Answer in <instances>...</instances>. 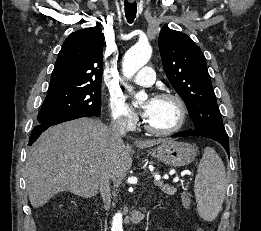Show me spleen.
I'll use <instances>...</instances> for the list:
<instances>
[{"mask_svg":"<svg viewBox=\"0 0 261 231\" xmlns=\"http://www.w3.org/2000/svg\"><path fill=\"white\" fill-rule=\"evenodd\" d=\"M227 188L225 167L211 147L204 149L195 177L194 192L197 211L201 218L211 222L218 216Z\"/></svg>","mask_w":261,"mask_h":231,"instance_id":"3e777b00","label":"spleen"}]
</instances>
